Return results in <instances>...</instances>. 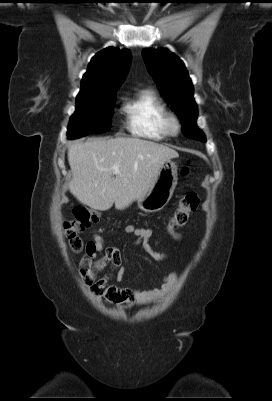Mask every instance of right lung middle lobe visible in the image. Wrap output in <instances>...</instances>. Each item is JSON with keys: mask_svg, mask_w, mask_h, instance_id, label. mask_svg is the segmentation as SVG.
<instances>
[{"mask_svg": "<svg viewBox=\"0 0 272 401\" xmlns=\"http://www.w3.org/2000/svg\"><path fill=\"white\" fill-rule=\"evenodd\" d=\"M114 93L115 91H108L76 98V111L68 126L69 139L110 129Z\"/></svg>", "mask_w": 272, "mask_h": 401, "instance_id": "obj_1", "label": "right lung middle lobe"}]
</instances>
